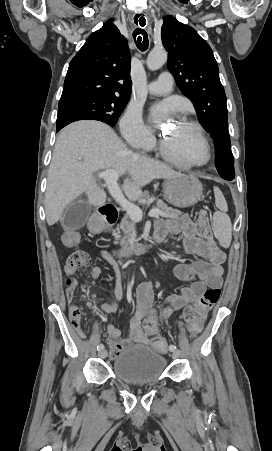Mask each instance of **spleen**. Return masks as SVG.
Instances as JSON below:
<instances>
[{
  "mask_svg": "<svg viewBox=\"0 0 272 451\" xmlns=\"http://www.w3.org/2000/svg\"><path fill=\"white\" fill-rule=\"evenodd\" d=\"M213 190L215 206L220 210V212H215L213 216L214 233L222 247H229L232 239V224L228 214H226L228 212L227 202L219 188L214 186Z\"/></svg>",
  "mask_w": 272,
  "mask_h": 451,
  "instance_id": "3e777b00",
  "label": "spleen"
}]
</instances>
